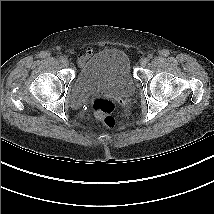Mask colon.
Instances as JSON below:
<instances>
[{
  "mask_svg": "<svg viewBox=\"0 0 214 214\" xmlns=\"http://www.w3.org/2000/svg\"><path fill=\"white\" fill-rule=\"evenodd\" d=\"M116 108L115 101L109 98H97L93 102V110L107 128L116 126V119L113 112Z\"/></svg>",
  "mask_w": 214,
  "mask_h": 214,
  "instance_id": "colon-1",
  "label": "colon"
}]
</instances>
